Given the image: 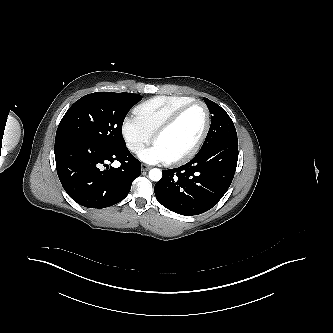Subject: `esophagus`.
I'll return each instance as SVG.
<instances>
[{
  "label": "esophagus",
  "mask_w": 333,
  "mask_h": 333,
  "mask_svg": "<svg viewBox=\"0 0 333 333\" xmlns=\"http://www.w3.org/2000/svg\"><path fill=\"white\" fill-rule=\"evenodd\" d=\"M150 168L151 167L146 165V164H143L142 167H141L142 171H148V170H150Z\"/></svg>",
  "instance_id": "1"
}]
</instances>
